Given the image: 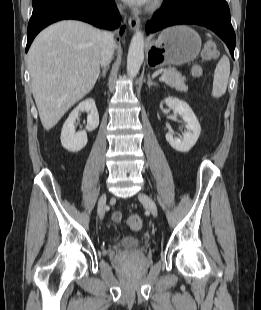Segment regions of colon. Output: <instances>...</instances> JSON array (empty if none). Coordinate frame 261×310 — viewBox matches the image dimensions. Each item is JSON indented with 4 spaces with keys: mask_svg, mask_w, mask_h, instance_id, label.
Instances as JSON below:
<instances>
[{
    "mask_svg": "<svg viewBox=\"0 0 261 310\" xmlns=\"http://www.w3.org/2000/svg\"><path fill=\"white\" fill-rule=\"evenodd\" d=\"M218 55V50L216 45L212 41H207L202 50V58L204 60H212L215 59ZM192 73L194 76L199 77L203 74V66L201 64H197L193 67ZM116 213L119 211L116 210ZM113 219L115 221H120L122 216L120 214H113ZM128 226L133 230H139L142 227V219L139 215L133 214L127 219Z\"/></svg>",
    "mask_w": 261,
    "mask_h": 310,
    "instance_id": "1",
    "label": "colon"
}]
</instances>
